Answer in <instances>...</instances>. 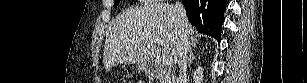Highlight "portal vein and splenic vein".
Instances as JSON below:
<instances>
[{"label": "portal vein and splenic vein", "instance_id": "1", "mask_svg": "<svg viewBox=\"0 0 307 83\" xmlns=\"http://www.w3.org/2000/svg\"><path fill=\"white\" fill-rule=\"evenodd\" d=\"M156 42H157L158 45L161 46V42H160L159 39H156ZM162 62H163V64H164L165 66H171V65H172V62H173V59H172V57H170V56H163V57H162Z\"/></svg>", "mask_w": 307, "mask_h": 83}]
</instances>
